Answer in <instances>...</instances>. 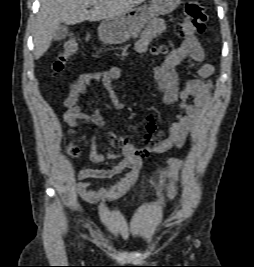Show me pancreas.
Here are the masks:
<instances>
[{"label": "pancreas", "mask_w": 254, "mask_h": 267, "mask_svg": "<svg viewBox=\"0 0 254 267\" xmlns=\"http://www.w3.org/2000/svg\"><path fill=\"white\" fill-rule=\"evenodd\" d=\"M139 32H140V29H138V30L134 33V35L137 36Z\"/></svg>", "instance_id": "cf45deb5"}]
</instances>
